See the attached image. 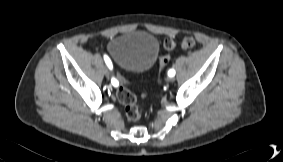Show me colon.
Segmentation results:
<instances>
[{"mask_svg": "<svg viewBox=\"0 0 283 162\" xmlns=\"http://www.w3.org/2000/svg\"><path fill=\"white\" fill-rule=\"evenodd\" d=\"M196 42L192 37H185L180 43L182 49H191ZM163 47L166 51H172L176 48V43L172 38H166L163 42ZM170 61L168 53L161 55L159 59L160 69L163 70ZM118 86L116 87V97L118 101L124 106L126 118L129 121H138L142 115V109L138 98L129 89V82L121 75L117 76Z\"/></svg>", "mask_w": 283, "mask_h": 162, "instance_id": "colon-1", "label": "colon"}]
</instances>
